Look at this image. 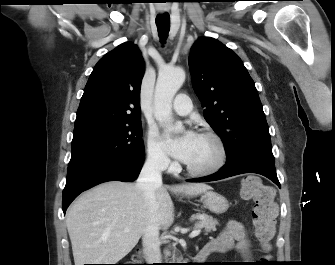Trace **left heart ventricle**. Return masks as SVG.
Returning <instances> with one entry per match:
<instances>
[{"label":"left heart ventricle","instance_id":"1","mask_svg":"<svg viewBox=\"0 0 335 265\" xmlns=\"http://www.w3.org/2000/svg\"><path fill=\"white\" fill-rule=\"evenodd\" d=\"M218 157L216 143L209 138L198 136L187 165L203 169L212 165Z\"/></svg>","mask_w":335,"mask_h":265}]
</instances>
